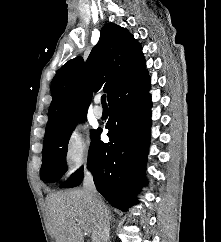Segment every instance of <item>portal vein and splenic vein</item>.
<instances>
[{
	"instance_id": "1",
	"label": "portal vein and splenic vein",
	"mask_w": 221,
	"mask_h": 242,
	"mask_svg": "<svg viewBox=\"0 0 221 242\" xmlns=\"http://www.w3.org/2000/svg\"><path fill=\"white\" fill-rule=\"evenodd\" d=\"M84 231L89 232L86 228H84Z\"/></svg>"
}]
</instances>
